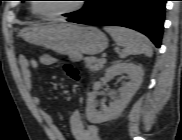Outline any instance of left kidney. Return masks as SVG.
Masks as SVG:
<instances>
[{
    "mask_svg": "<svg viewBox=\"0 0 182 140\" xmlns=\"http://www.w3.org/2000/svg\"><path fill=\"white\" fill-rule=\"evenodd\" d=\"M127 74L130 81L119 88V99L112 101L108 107L103 106L101 111H97L96 97L102 82L93 84V91L87 98L86 116L91 123H102L117 117L128 105L134 94L139 89L143 80V69L133 63L115 62L105 72V79H113L117 75Z\"/></svg>",
    "mask_w": 182,
    "mask_h": 140,
    "instance_id": "5707ae66",
    "label": "left kidney"
}]
</instances>
